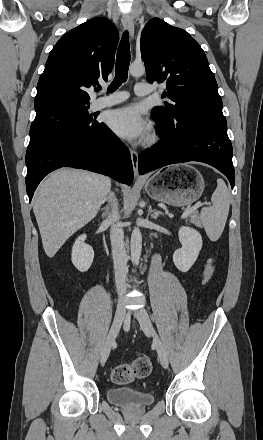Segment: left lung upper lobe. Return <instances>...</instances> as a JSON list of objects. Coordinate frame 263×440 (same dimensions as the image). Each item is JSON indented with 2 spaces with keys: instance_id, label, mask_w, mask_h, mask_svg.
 I'll return each instance as SVG.
<instances>
[{
  "instance_id": "5c2ea615",
  "label": "left lung upper lobe",
  "mask_w": 263,
  "mask_h": 440,
  "mask_svg": "<svg viewBox=\"0 0 263 440\" xmlns=\"http://www.w3.org/2000/svg\"><path fill=\"white\" fill-rule=\"evenodd\" d=\"M147 80L167 84L172 103L156 106L152 116L166 124H186L224 116L218 86L200 45L183 29L154 18L141 34Z\"/></svg>"
}]
</instances>
